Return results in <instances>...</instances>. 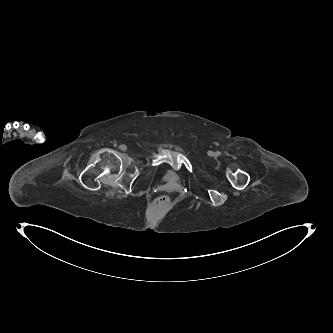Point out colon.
I'll return each mask as SVG.
<instances>
[{
	"label": "colon",
	"mask_w": 333,
	"mask_h": 333,
	"mask_svg": "<svg viewBox=\"0 0 333 333\" xmlns=\"http://www.w3.org/2000/svg\"><path fill=\"white\" fill-rule=\"evenodd\" d=\"M153 206L156 209H167L170 207V198L167 195H160L153 201Z\"/></svg>",
	"instance_id": "1"
}]
</instances>
